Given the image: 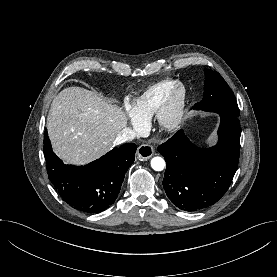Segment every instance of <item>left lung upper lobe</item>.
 I'll use <instances>...</instances> for the list:
<instances>
[{"mask_svg":"<svg viewBox=\"0 0 277 277\" xmlns=\"http://www.w3.org/2000/svg\"><path fill=\"white\" fill-rule=\"evenodd\" d=\"M204 73L203 99L194 108L238 117L239 109L234 94L222 76L208 69Z\"/></svg>","mask_w":277,"mask_h":277,"instance_id":"5c2ea615","label":"left lung upper lobe"}]
</instances>
